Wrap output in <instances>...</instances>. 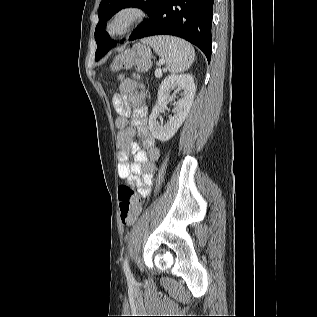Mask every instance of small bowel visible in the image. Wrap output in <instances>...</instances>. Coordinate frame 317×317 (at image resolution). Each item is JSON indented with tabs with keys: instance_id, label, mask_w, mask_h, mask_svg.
<instances>
[{
	"instance_id": "1",
	"label": "small bowel",
	"mask_w": 317,
	"mask_h": 317,
	"mask_svg": "<svg viewBox=\"0 0 317 317\" xmlns=\"http://www.w3.org/2000/svg\"><path fill=\"white\" fill-rule=\"evenodd\" d=\"M145 91L133 79L121 82L119 90L112 97L118 114L115 127L118 135V174L120 178L135 185L140 197H147L153 184L154 163L160 156L155 138L147 126V108L144 103ZM138 136L146 151L135 141ZM133 161L130 162V156Z\"/></svg>"
}]
</instances>
